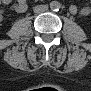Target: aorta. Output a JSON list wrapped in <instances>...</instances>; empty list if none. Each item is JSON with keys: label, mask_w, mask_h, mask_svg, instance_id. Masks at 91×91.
I'll use <instances>...</instances> for the list:
<instances>
[{"label": "aorta", "mask_w": 91, "mask_h": 91, "mask_svg": "<svg viewBox=\"0 0 91 91\" xmlns=\"http://www.w3.org/2000/svg\"><path fill=\"white\" fill-rule=\"evenodd\" d=\"M50 8L53 11H58L61 8V4L58 1H52L50 3Z\"/></svg>", "instance_id": "1"}]
</instances>
